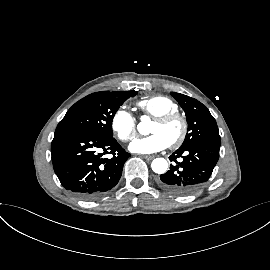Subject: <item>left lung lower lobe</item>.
Wrapping results in <instances>:
<instances>
[{
	"label": "left lung lower lobe",
	"instance_id": "0a47b994",
	"mask_svg": "<svg viewBox=\"0 0 270 270\" xmlns=\"http://www.w3.org/2000/svg\"><path fill=\"white\" fill-rule=\"evenodd\" d=\"M220 145L196 143L180 147L170 157V170L160 175L159 185L175 195H189L210 178L219 158ZM182 160L178 161V158Z\"/></svg>",
	"mask_w": 270,
	"mask_h": 270
}]
</instances>
